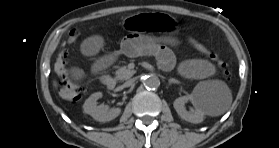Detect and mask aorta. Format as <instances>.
Segmentation results:
<instances>
[{"label": "aorta", "mask_w": 279, "mask_h": 148, "mask_svg": "<svg viewBox=\"0 0 279 148\" xmlns=\"http://www.w3.org/2000/svg\"><path fill=\"white\" fill-rule=\"evenodd\" d=\"M160 85V80L155 75H148L144 79V86L148 89H157Z\"/></svg>", "instance_id": "1"}]
</instances>
